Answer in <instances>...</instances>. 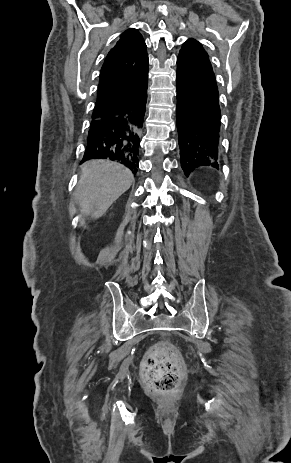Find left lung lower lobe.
<instances>
[{
	"label": "left lung lower lobe",
	"mask_w": 291,
	"mask_h": 463,
	"mask_svg": "<svg viewBox=\"0 0 291 463\" xmlns=\"http://www.w3.org/2000/svg\"><path fill=\"white\" fill-rule=\"evenodd\" d=\"M177 130L186 176L199 166L219 168L220 107L217 84L177 70Z\"/></svg>",
	"instance_id": "obj_1"
}]
</instances>
